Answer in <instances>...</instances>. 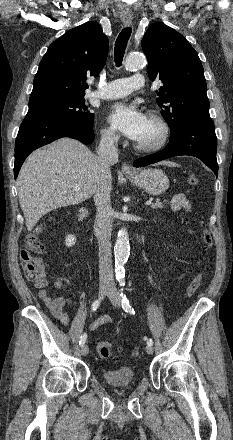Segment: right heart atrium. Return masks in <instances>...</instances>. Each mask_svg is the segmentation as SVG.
<instances>
[{
    "label": "right heart atrium",
    "mask_w": 233,
    "mask_h": 440,
    "mask_svg": "<svg viewBox=\"0 0 233 440\" xmlns=\"http://www.w3.org/2000/svg\"><path fill=\"white\" fill-rule=\"evenodd\" d=\"M100 136L102 142L109 146L115 145L119 139L117 133L114 131V129L110 127L102 128L100 132Z\"/></svg>",
    "instance_id": "right-heart-atrium-1"
}]
</instances>
